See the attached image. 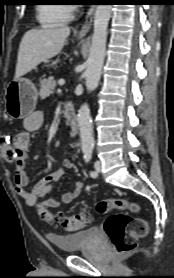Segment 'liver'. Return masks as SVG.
<instances>
[{"label":"liver","mask_w":174,"mask_h":278,"mask_svg":"<svg viewBox=\"0 0 174 278\" xmlns=\"http://www.w3.org/2000/svg\"><path fill=\"white\" fill-rule=\"evenodd\" d=\"M70 28L67 26L31 29L20 43L14 79H19L41 62L60 54Z\"/></svg>","instance_id":"1"}]
</instances>
